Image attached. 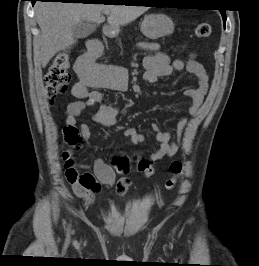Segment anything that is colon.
Listing matches in <instances>:
<instances>
[{"label":"colon","instance_id":"colon-1","mask_svg":"<svg viewBox=\"0 0 259 266\" xmlns=\"http://www.w3.org/2000/svg\"><path fill=\"white\" fill-rule=\"evenodd\" d=\"M198 38H208L211 35V25L207 22H200L195 28ZM70 54L66 51L58 53L45 73L46 92L50 99L66 92L71 76L69 73ZM65 141L71 146H78L81 142L79 131L73 126H67L64 129ZM67 170L72 168V161L68 153H64ZM137 171L149 178L154 174L152 161L147 158H135ZM113 167L120 175H126L130 172L131 162L125 156H117L113 159ZM171 177L167 179L165 186L167 189H173L177 179L182 174L183 165L180 161H174L170 164Z\"/></svg>","mask_w":259,"mask_h":266}]
</instances>
